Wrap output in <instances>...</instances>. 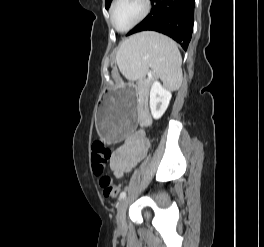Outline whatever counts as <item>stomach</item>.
<instances>
[{
	"mask_svg": "<svg viewBox=\"0 0 264 247\" xmlns=\"http://www.w3.org/2000/svg\"><path fill=\"white\" fill-rule=\"evenodd\" d=\"M103 98L98 101L97 125L105 141H126L137 131L135 90L129 83L117 86V90H102Z\"/></svg>",
	"mask_w": 264,
	"mask_h": 247,
	"instance_id": "stomach-1",
	"label": "stomach"
}]
</instances>
